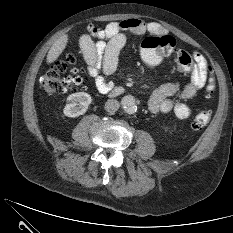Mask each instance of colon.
Segmentation results:
<instances>
[{
  "mask_svg": "<svg viewBox=\"0 0 233 233\" xmlns=\"http://www.w3.org/2000/svg\"><path fill=\"white\" fill-rule=\"evenodd\" d=\"M166 56H173L176 69L182 73H191L193 69V57L185 50L176 48V40L170 35H151L146 37L141 44V57L143 62L150 66L158 65ZM77 62L75 54H68L55 61L39 78L41 89L47 94L65 93L84 82L78 69H73L71 75H66L67 69ZM213 89L212 79L209 82V90ZM211 119L208 111L199 112L192 121V126L201 129Z\"/></svg>",
  "mask_w": 233,
  "mask_h": 233,
  "instance_id": "obj_1",
  "label": "colon"
}]
</instances>
